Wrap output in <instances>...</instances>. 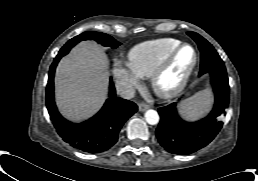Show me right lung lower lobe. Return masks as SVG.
<instances>
[{
  "instance_id": "1",
  "label": "right lung lower lobe",
  "mask_w": 258,
  "mask_h": 181,
  "mask_svg": "<svg viewBox=\"0 0 258 181\" xmlns=\"http://www.w3.org/2000/svg\"><path fill=\"white\" fill-rule=\"evenodd\" d=\"M61 57L56 56L49 71L46 105L50 118L58 134L72 147L90 153L107 151L117 142L121 127L137 111V106L117 97L110 79L109 98L95 116L82 123L67 121L59 114L54 102V72Z\"/></svg>"
}]
</instances>
